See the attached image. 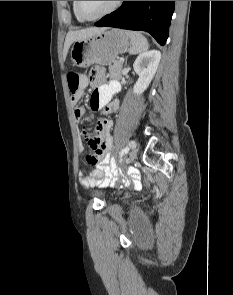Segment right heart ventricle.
<instances>
[{
	"mask_svg": "<svg viewBox=\"0 0 233 295\" xmlns=\"http://www.w3.org/2000/svg\"><path fill=\"white\" fill-rule=\"evenodd\" d=\"M73 11H74V14H75L77 20H78V21H83L82 19H80V18L78 17V15H77L76 12H75L74 1H73Z\"/></svg>",
	"mask_w": 233,
	"mask_h": 295,
	"instance_id": "e07e8e85",
	"label": "right heart ventricle"
}]
</instances>
